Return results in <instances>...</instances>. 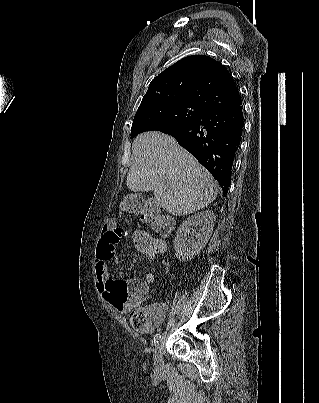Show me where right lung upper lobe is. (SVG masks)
Segmentation results:
<instances>
[{"label":"right lung upper lobe","mask_w":319,"mask_h":403,"mask_svg":"<svg viewBox=\"0 0 319 403\" xmlns=\"http://www.w3.org/2000/svg\"><path fill=\"white\" fill-rule=\"evenodd\" d=\"M161 103H190L210 111L242 104L229 71L204 55L185 57L155 77L137 110Z\"/></svg>","instance_id":"cb5924a9"}]
</instances>
